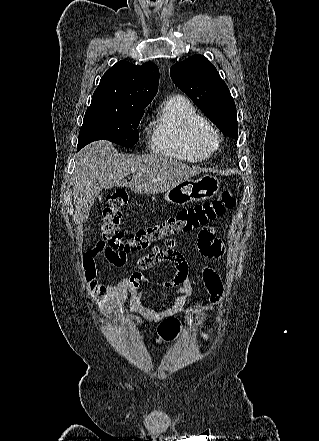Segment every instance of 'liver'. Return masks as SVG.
<instances>
[{
  "label": "liver",
  "instance_id": "obj_1",
  "mask_svg": "<svg viewBox=\"0 0 319 441\" xmlns=\"http://www.w3.org/2000/svg\"><path fill=\"white\" fill-rule=\"evenodd\" d=\"M202 171L181 161L157 155H121L109 141L93 142L78 154L73 197L82 223L102 189L129 186L138 194L164 193ZM141 173V175H139ZM132 174L127 183L125 177Z\"/></svg>",
  "mask_w": 319,
  "mask_h": 441
}]
</instances>
